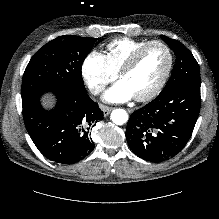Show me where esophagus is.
I'll use <instances>...</instances> for the list:
<instances>
[{"label":"esophagus","mask_w":219,"mask_h":219,"mask_svg":"<svg viewBox=\"0 0 219 219\" xmlns=\"http://www.w3.org/2000/svg\"><path fill=\"white\" fill-rule=\"evenodd\" d=\"M102 110H103V114L104 116H108L110 114V112L113 110L112 107H108V106H101Z\"/></svg>","instance_id":"esophagus-1"}]
</instances>
